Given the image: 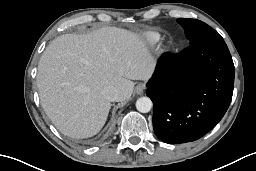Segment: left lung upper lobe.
Returning <instances> with one entry per match:
<instances>
[{"label": "left lung upper lobe", "mask_w": 256, "mask_h": 171, "mask_svg": "<svg viewBox=\"0 0 256 171\" xmlns=\"http://www.w3.org/2000/svg\"><path fill=\"white\" fill-rule=\"evenodd\" d=\"M177 21L185 29L189 45L202 41H224L217 31L202 21L185 18H179Z\"/></svg>", "instance_id": "left-lung-upper-lobe-1"}]
</instances>
